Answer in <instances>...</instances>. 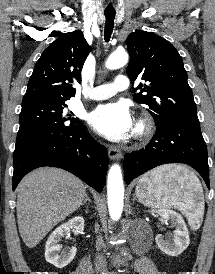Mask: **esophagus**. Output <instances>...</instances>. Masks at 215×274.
<instances>
[{"mask_svg":"<svg viewBox=\"0 0 215 274\" xmlns=\"http://www.w3.org/2000/svg\"><path fill=\"white\" fill-rule=\"evenodd\" d=\"M108 155L111 160H119L122 157V152L116 147H109Z\"/></svg>","mask_w":215,"mask_h":274,"instance_id":"34e87169","label":"esophagus"}]
</instances>
